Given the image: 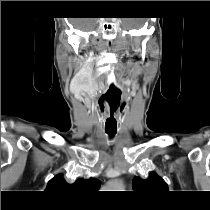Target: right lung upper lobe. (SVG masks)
Returning a JSON list of instances; mask_svg holds the SVG:
<instances>
[{
  "instance_id": "obj_1",
  "label": "right lung upper lobe",
  "mask_w": 210,
  "mask_h": 210,
  "mask_svg": "<svg viewBox=\"0 0 210 210\" xmlns=\"http://www.w3.org/2000/svg\"><path fill=\"white\" fill-rule=\"evenodd\" d=\"M100 182L95 178L88 180L78 179L70 184L65 181L62 174L53 177L47 185L46 191L60 197H66L77 190L99 189Z\"/></svg>"
}]
</instances>
